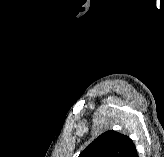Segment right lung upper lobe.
<instances>
[{
    "mask_svg": "<svg viewBox=\"0 0 164 157\" xmlns=\"http://www.w3.org/2000/svg\"><path fill=\"white\" fill-rule=\"evenodd\" d=\"M133 141L123 134L107 131L97 137L78 157H132Z\"/></svg>",
    "mask_w": 164,
    "mask_h": 157,
    "instance_id": "1",
    "label": "right lung upper lobe"
}]
</instances>
